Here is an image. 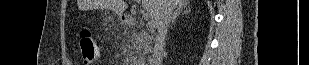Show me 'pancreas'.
Listing matches in <instances>:
<instances>
[{
  "label": "pancreas",
  "instance_id": "pancreas-1",
  "mask_svg": "<svg viewBox=\"0 0 309 65\" xmlns=\"http://www.w3.org/2000/svg\"><path fill=\"white\" fill-rule=\"evenodd\" d=\"M130 43V57L133 61L135 59L139 61L143 55H145L150 50L151 37L144 30L135 31L130 37Z\"/></svg>",
  "mask_w": 309,
  "mask_h": 65
}]
</instances>
